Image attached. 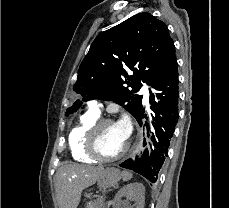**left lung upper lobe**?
Returning a JSON list of instances; mask_svg holds the SVG:
<instances>
[{"label":"left lung upper lobe","mask_w":229,"mask_h":208,"mask_svg":"<svg viewBox=\"0 0 229 208\" xmlns=\"http://www.w3.org/2000/svg\"><path fill=\"white\" fill-rule=\"evenodd\" d=\"M176 67L175 46L166 24L150 13H139L95 38L79 67L73 90L83 101L111 100L135 116L142 107V96L133 93L142 83L160 85ZM81 105L80 100L75 101L66 116Z\"/></svg>","instance_id":"left-lung-upper-lobe-1"}]
</instances>
